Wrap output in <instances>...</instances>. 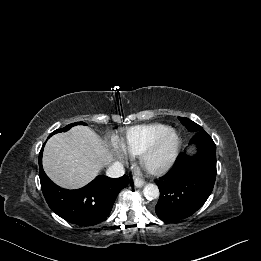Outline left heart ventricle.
Masks as SVG:
<instances>
[{"label": "left heart ventricle", "instance_id": "b2bd125f", "mask_svg": "<svg viewBox=\"0 0 261 261\" xmlns=\"http://www.w3.org/2000/svg\"><path fill=\"white\" fill-rule=\"evenodd\" d=\"M173 140L172 138L166 140L164 144L161 146L157 154L153 157L152 163L157 164L159 163L170 151L171 146H172Z\"/></svg>", "mask_w": 261, "mask_h": 261}]
</instances>
